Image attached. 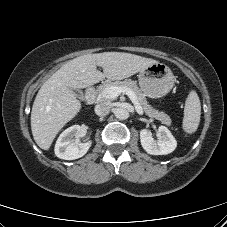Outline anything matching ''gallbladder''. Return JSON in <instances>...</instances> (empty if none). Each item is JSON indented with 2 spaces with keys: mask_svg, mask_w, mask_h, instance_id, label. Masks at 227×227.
<instances>
[{
  "mask_svg": "<svg viewBox=\"0 0 227 227\" xmlns=\"http://www.w3.org/2000/svg\"><path fill=\"white\" fill-rule=\"evenodd\" d=\"M73 92L78 97H81L83 95L82 91L81 90H78V89L77 90H74Z\"/></svg>",
  "mask_w": 227,
  "mask_h": 227,
  "instance_id": "1",
  "label": "gallbladder"
}]
</instances>
